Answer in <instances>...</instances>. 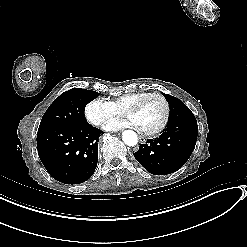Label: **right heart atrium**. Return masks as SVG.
<instances>
[{
    "mask_svg": "<svg viewBox=\"0 0 247 247\" xmlns=\"http://www.w3.org/2000/svg\"><path fill=\"white\" fill-rule=\"evenodd\" d=\"M114 113V104L101 98H92L84 108V115L87 121L97 127H105Z\"/></svg>",
    "mask_w": 247,
    "mask_h": 247,
    "instance_id": "obj_1",
    "label": "right heart atrium"
}]
</instances>
